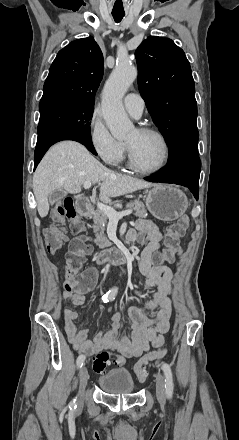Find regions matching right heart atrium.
Returning a JSON list of instances; mask_svg holds the SVG:
<instances>
[{"label": "right heart atrium", "mask_w": 239, "mask_h": 440, "mask_svg": "<svg viewBox=\"0 0 239 440\" xmlns=\"http://www.w3.org/2000/svg\"><path fill=\"white\" fill-rule=\"evenodd\" d=\"M89 141L99 157L110 166H118L124 159L126 146L109 132L104 120L93 114L89 122Z\"/></svg>", "instance_id": "obj_1"}]
</instances>
